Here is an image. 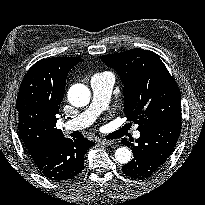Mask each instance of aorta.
<instances>
[{"mask_svg":"<svg viewBox=\"0 0 205 205\" xmlns=\"http://www.w3.org/2000/svg\"><path fill=\"white\" fill-rule=\"evenodd\" d=\"M68 100L75 107L86 106L90 101V90L83 84H74L68 91ZM114 156L118 163L127 164L132 153L127 147H120L116 149Z\"/></svg>","mask_w":205,"mask_h":205,"instance_id":"obj_1","label":"aorta"}]
</instances>
